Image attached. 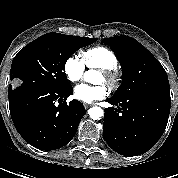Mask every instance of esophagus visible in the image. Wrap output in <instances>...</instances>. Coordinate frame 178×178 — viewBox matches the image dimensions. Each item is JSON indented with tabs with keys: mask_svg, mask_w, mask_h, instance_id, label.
<instances>
[{
	"mask_svg": "<svg viewBox=\"0 0 178 178\" xmlns=\"http://www.w3.org/2000/svg\"><path fill=\"white\" fill-rule=\"evenodd\" d=\"M91 106H92L91 104L84 103L85 109H88V108L91 107Z\"/></svg>",
	"mask_w": 178,
	"mask_h": 178,
	"instance_id": "34e87169",
	"label": "esophagus"
}]
</instances>
